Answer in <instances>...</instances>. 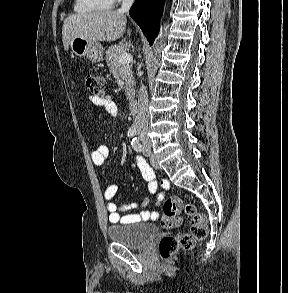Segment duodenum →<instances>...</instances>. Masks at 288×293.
Listing matches in <instances>:
<instances>
[{"instance_id": "obj_1", "label": "duodenum", "mask_w": 288, "mask_h": 293, "mask_svg": "<svg viewBox=\"0 0 288 293\" xmlns=\"http://www.w3.org/2000/svg\"><path fill=\"white\" fill-rule=\"evenodd\" d=\"M128 106L132 113H136L138 111V101L135 98L129 99Z\"/></svg>"}]
</instances>
